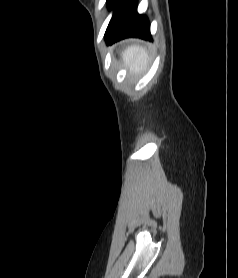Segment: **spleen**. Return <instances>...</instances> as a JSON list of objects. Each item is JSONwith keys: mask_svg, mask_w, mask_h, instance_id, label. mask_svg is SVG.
Listing matches in <instances>:
<instances>
[{"mask_svg": "<svg viewBox=\"0 0 238 278\" xmlns=\"http://www.w3.org/2000/svg\"><path fill=\"white\" fill-rule=\"evenodd\" d=\"M124 64L129 66L130 72L140 73L147 69L149 56L143 47L132 45L122 53Z\"/></svg>", "mask_w": 238, "mask_h": 278, "instance_id": "1", "label": "spleen"}]
</instances>
